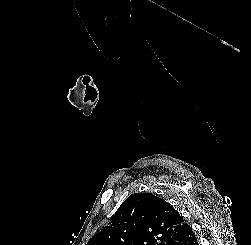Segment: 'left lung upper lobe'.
<instances>
[{"label": "left lung upper lobe", "instance_id": "obj_1", "mask_svg": "<svg viewBox=\"0 0 251 245\" xmlns=\"http://www.w3.org/2000/svg\"><path fill=\"white\" fill-rule=\"evenodd\" d=\"M187 223L152 193L131 194L87 245H170Z\"/></svg>", "mask_w": 251, "mask_h": 245}]
</instances>
